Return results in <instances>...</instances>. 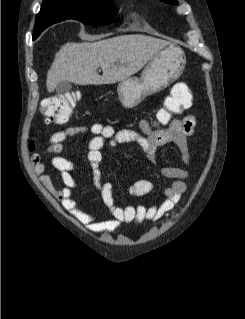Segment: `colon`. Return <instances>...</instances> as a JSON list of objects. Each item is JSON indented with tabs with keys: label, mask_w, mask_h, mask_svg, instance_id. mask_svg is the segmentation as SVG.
<instances>
[{
	"label": "colon",
	"mask_w": 245,
	"mask_h": 319,
	"mask_svg": "<svg viewBox=\"0 0 245 319\" xmlns=\"http://www.w3.org/2000/svg\"><path fill=\"white\" fill-rule=\"evenodd\" d=\"M186 92L183 90L171 92L166 99L165 107L159 110L157 122L159 124L169 123L173 115L184 112L189 106L185 103ZM76 95L63 94L48 98L43 103V113L50 122L63 123L67 121L74 109ZM33 147V145H31Z\"/></svg>",
	"instance_id": "1"
}]
</instances>
